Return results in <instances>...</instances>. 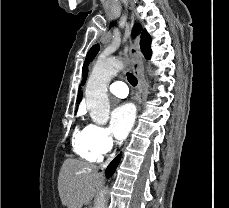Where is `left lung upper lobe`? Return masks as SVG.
<instances>
[{
  "mask_svg": "<svg viewBox=\"0 0 229 208\" xmlns=\"http://www.w3.org/2000/svg\"><path fill=\"white\" fill-rule=\"evenodd\" d=\"M141 32V27L139 24H136L133 28L132 31V35L136 36ZM150 43H151V38L149 36V34L147 33V31L144 29L141 32V41H140V46H141V50L144 54V56L149 59L151 56V49H150ZM99 51V45L96 44L94 45L89 52L87 53L85 62H84V66H83V73L86 70L88 64L90 63V61L93 60V58L96 56V54Z\"/></svg>",
  "mask_w": 229,
  "mask_h": 208,
  "instance_id": "5c2ea615",
  "label": "left lung upper lobe"
}]
</instances>
